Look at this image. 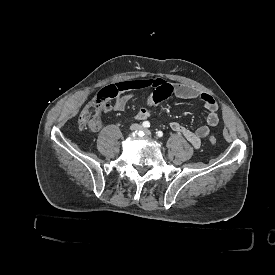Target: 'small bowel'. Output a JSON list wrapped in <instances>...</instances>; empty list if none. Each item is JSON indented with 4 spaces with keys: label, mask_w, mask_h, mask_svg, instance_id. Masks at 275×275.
<instances>
[{
    "label": "small bowel",
    "mask_w": 275,
    "mask_h": 275,
    "mask_svg": "<svg viewBox=\"0 0 275 275\" xmlns=\"http://www.w3.org/2000/svg\"><path fill=\"white\" fill-rule=\"evenodd\" d=\"M120 84L123 85L124 88L116 97L112 107L116 112L124 111L130 99L136 92L150 88L153 89V92L146 97L145 106L139 109L136 113V119L139 121L147 120L154 107L170 95L183 99H198L202 101L207 110L205 124L192 130L179 121H171L169 123V128L173 132L181 134L195 148H199L201 140L206 138L210 134L211 129L219 124V107L216 100L208 93H205L194 86L169 83L160 77L129 80L121 82ZM80 116H82V113ZM88 126L91 131L97 132L101 128V122L99 119H91L88 122Z\"/></svg>",
    "instance_id": "obj_1"
}]
</instances>
